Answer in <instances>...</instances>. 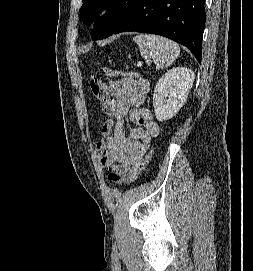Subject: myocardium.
Wrapping results in <instances>:
<instances>
[{
  "label": "myocardium",
  "mask_w": 253,
  "mask_h": 271,
  "mask_svg": "<svg viewBox=\"0 0 253 271\" xmlns=\"http://www.w3.org/2000/svg\"><path fill=\"white\" fill-rule=\"evenodd\" d=\"M108 10H109V6H108V5H104V6H102V8H101V11H102L103 13L107 12Z\"/></svg>",
  "instance_id": "f54148a6"
}]
</instances>
